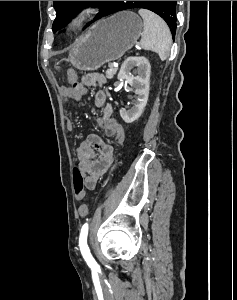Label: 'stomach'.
I'll return each mask as SVG.
<instances>
[{
	"mask_svg": "<svg viewBox=\"0 0 237 300\" xmlns=\"http://www.w3.org/2000/svg\"><path fill=\"white\" fill-rule=\"evenodd\" d=\"M143 23L132 11H121L90 27L69 51L68 59L79 71H97L131 49L141 35Z\"/></svg>",
	"mask_w": 237,
	"mask_h": 300,
	"instance_id": "1",
	"label": "stomach"
}]
</instances>
